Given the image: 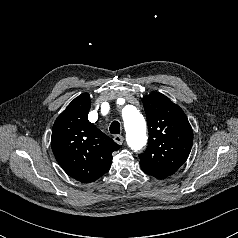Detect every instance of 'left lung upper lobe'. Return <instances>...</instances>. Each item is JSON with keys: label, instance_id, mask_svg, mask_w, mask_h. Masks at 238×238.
<instances>
[{"label": "left lung upper lobe", "instance_id": "5c2ea615", "mask_svg": "<svg viewBox=\"0 0 238 238\" xmlns=\"http://www.w3.org/2000/svg\"><path fill=\"white\" fill-rule=\"evenodd\" d=\"M147 115L149 143L139 155L142 170L158 179L174 174L187 160L193 132L183 110L161 93L142 99Z\"/></svg>", "mask_w": 238, "mask_h": 238}]
</instances>
